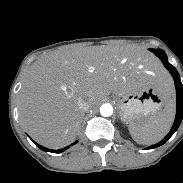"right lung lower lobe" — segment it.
Returning <instances> with one entry per match:
<instances>
[{
	"instance_id": "right-lung-lower-lobe-1",
	"label": "right lung lower lobe",
	"mask_w": 183,
	"mask_h": 183,
	"mask_svg": "<svg viewBox=\"0 0 183 183\" xmlns=\"http://www.w3.org/2000/svg\"><path fill=\"white\" fill-rule=\"evenodd\" d=\"M35 143V142H34ZM75 143H77V141L76 142H74L72 145H74ZM41 150H43V151H48V152H52V153H60V152H63V151H65L66 149H68L70 146H67V147H65V148H63V149H59V150H51V149H47V148H45V147H43V146H41V145H39V144H37V143H35Z\"/></svg>"
}]
</instances>
